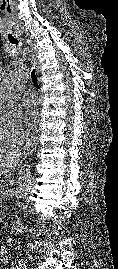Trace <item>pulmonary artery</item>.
<instances>
[{
  "label": "pulmonary artery",
  "mask_w": 118,
  "mask_h": 269,
  "mask_svg": "<svg viewBox=\"0 0 118 269\" xmlns=\"http://www.w3.org/2000/svg\"><path fill=\"white\" fill-rule=\"evenodd\" d=\"M39 98L33 90H28L24 93L22 103L26 106L35 105Z\"/></svg>",
  "instance_id": "pulmonary-artery-1"
}]
</instances>
